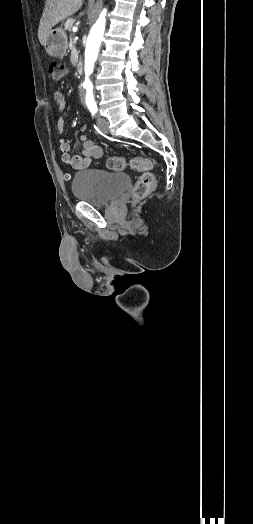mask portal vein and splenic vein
<instances>
[{"label": "portal vein and splenic vein", "mask_w": 253, "mask_h": 524, "mask_svg": "<svg viewBox=\"0 0 253 524\" xmlns=\"http://www.w3.org/2000/svg\"><path fill=\"white\" fill-rule=\"evenodd\" d=\"M78 30L77 27H73V31L76 32Z\"/></svg>", "instance_id": "obj_1"}]
</instances>
